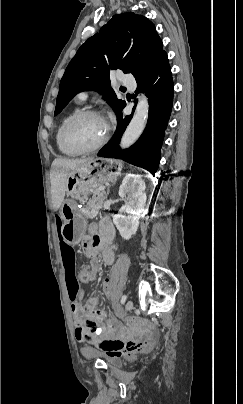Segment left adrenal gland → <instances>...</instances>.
<instances>
[{
	"label": "left adrenal gland",
	"mask_w": 243,
	"mask_h": 404,
	"mask_svg": "<svg viewBox=\"0 0 243 404\" xmlns=\"http://www.w3.org/2000/svg\"><path fill=\"white\" fill-rule=\"evenodd\" d=\"M109 192H110V188H107V192L105 194V200H107V196H108Z\"/></svg>",
	"instance_id": "1"
}]
</instances>
